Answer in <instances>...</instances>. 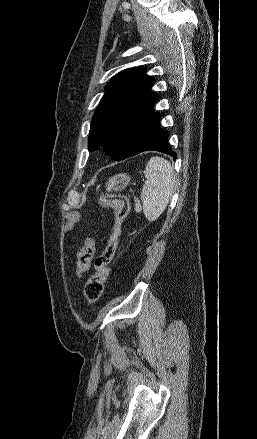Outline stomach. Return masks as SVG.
Masks as SVG:
<instances>
[{
    "label": "stomach",
    "mask_w": 257,
    "mask_h": 439,
    "mask_svg": "<svg viewBox=\"0 0 257 439\" xmlns=\"http://www.w3.org/2000/svg\"><path fill=\"white\" fill-rule=\"evenodd\" d=\"M129 182L130 176L125 173H120L109 178L106 189L109 192H120L128 186Z\"/></svg>",
    "instance_id": "stomach-1"
}]
</instances>
